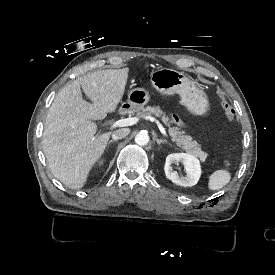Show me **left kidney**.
Segmentation results:
<instances>
[{"mask_svg": "<svg viewBox=\"0 0 275 275\" xmlns=\"http://www.w3.org/2000/svg\"><path fill=\"white\" fill-rule=\"evenodd\" d=\"M182 162L186 169V177H179L173 171L171 164ZM165 175L173 183L180 186H194L198 183L201 176L200 161L193 155L187 153H173L166 157L164 166Z\"/></svg>", "mask_w": 275, "mask_h": 275, "instance_id": "5707ae66", "label": "left kidney"}]
</instances>
